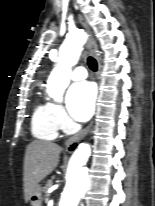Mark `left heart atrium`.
I'll return each instance as SVG.
<instances>
[{
  "label": "left heart atrium",
  "instance_id": "39dd6f15",
  "mask_svg": "<svg viewBox=\"0 0 155 206\" xmlns=\"http://www.w3.org/2000/svg\"><path fill=\"white\" fill-rule=\"evenodd\" d=\"M96 99V89L90 82L73 84L67 93V108L73 118L85 121L93 113Z\"/></svg>",
  "mask_w": 155,
  "mask_h": 206
}]
</instances>
